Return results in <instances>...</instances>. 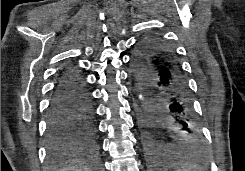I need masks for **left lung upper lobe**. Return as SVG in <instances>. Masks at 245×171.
<instances>
[{"label": "left lung upper lobe", "mask_w": 245, "mask_h": 171, "mask_svg": "<svg viewBox=\"0 0 245 171\" xmlns=\"http://www.w3.org/2000/svg\"><path fill=\"white\" fill-rule=\"evenodd\" d=\"M161 44H168L162 38L156 35H148L143 37L133 55V62L134 61H151V55L155 51V49Z\"/></svg>", "instance_id": "5c2ea615"}]
</instances>
